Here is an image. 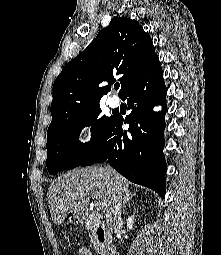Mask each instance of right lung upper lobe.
I'll return each instance as SVG.
<instances>
[{
	"label": "right lung upper lobe",
	"instance_id": "cb5924a9",
	"mask_svg": "<svg viewBox=\"0 0 221 255\" xmlns=\"http://www.w3.org/2000/svg\"><path fill=\"white\" fill-rule=\"evenodd\" d=\"M156 58L152 39L138 21L113 17L56 78L51 104L52 122L47 133L72 113L99 103L110 90L115 75H121V96ZM103 82L108 85L101 86Z\"/></svg>",
	"mask_w": 221,
	"mask_h": 255
}]
</instances>
